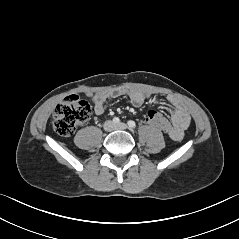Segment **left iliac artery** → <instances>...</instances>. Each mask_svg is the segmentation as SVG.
Returning a JSON list of instances; mask_svg holds the SVG:
<instances>
[{
	"label": "left iliac artery",
	"mask_w": 239,
	"mask_h": 239,
	"mask_svg": "<svg viewBox=\"0 0 239 239\" xmlns=\"http://www.w3.org/2000/svg\"><path fill=\"white\" fill-rule=\"evenodd\" d=\"M127 124L129 126V128H131V129L136 127V123L133 120H129Z\"/></svg>",
	"instance_id": "left-iliac-artery-1"
}]
</instances>
